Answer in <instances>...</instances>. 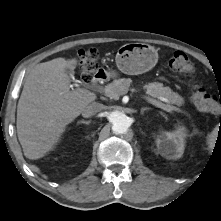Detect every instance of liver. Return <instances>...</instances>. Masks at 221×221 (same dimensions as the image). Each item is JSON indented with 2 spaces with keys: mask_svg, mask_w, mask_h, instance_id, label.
<instances>
[{
  "mask_svg": "<svg viewBox=\"0 0 221 221\" xmlns=\"http://www.w3.org/2000/svg\"><path fill=\"white\" fill-rule=\"evenodd\" d=\"M77 59L62 57L40 63L26 76L17 105V135L26 158L36 160L53 150L66 126L96 99L89 90H70L67 71Z\"/></svg>",
  "mask_w": 221,
  "mask_h": 221,
  "instance_id": "liver-1",
  "label": "liver"
}]
</instances>
